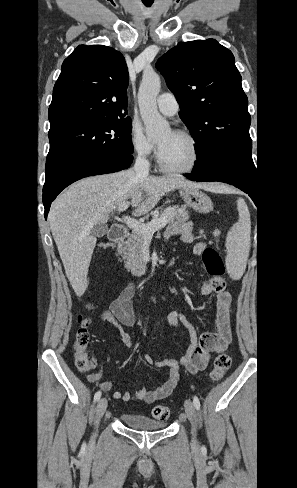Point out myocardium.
<instances>
[{"instance_id": "myocardium-1", "label": "myocardium", "mask_w": 297, "mask_h": 488, "mask_svg": "<svg viewBox=\"0 0 297 488\" xmlns=\"http://www.w3.org/2000/svg\"><path fill=\"white\" fill-rule=\"evenodd\" d=\"M172 132L178 136L184 137L185 139H187L190 142L192 149H193V154H194L193 159H192L191 163L185 168L178 169V168L169 167L161 159L160 150L158 147L157 152H156V161H157L158 167L163 172L170 173V174H188V173H191L197 168V166L200 162L201 151H200L199 144H198L196 138L191 133H189L188 131L177 129V130H173Z\"/></svg>"}]
</instances>
